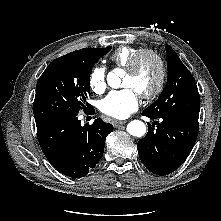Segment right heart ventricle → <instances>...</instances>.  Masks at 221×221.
<instances>
[{
    "mask_svg": "<svg viewBox=\"0 0 221 221\" xmlns=\"http://www.w3.org/2000/svg\"><path fill=\"white\" fill-rule=\"evenodd\" d=\"M140 50L142 49L131 46H122L112 53L110 60L115 64V66L126 69L133 56Z\"/></svg>",
    "mask_w": 221,
    "mask_h": 221,
    "instance_id": "right-heart-ventricle-1",
    "label": "right heart ventricle"
}]
</instances>
